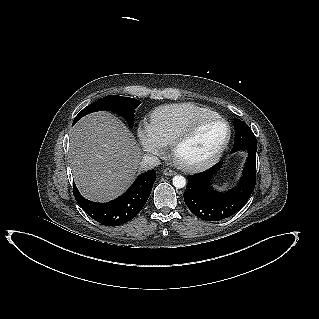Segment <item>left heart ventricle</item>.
I'll return each instance as SVG.
<instances>
[{
  "label": "left heart ventricle",
  "mask_w": 319,
  "mask_h": 319,
  "mask_svg": "<svg viewBox=\"0 0 319 319\" xmlns=\"http://www.w3.org/2000/svg\"><path fill=\"white\" fill-rule=\"evenodd\" d=\"M225 126L217 120L209 121L199 127L190 140L178 151L182 160L195 162L209 157L225 137Z\"/></svg>",
  "instance_id": "left-heart-ventricle-1"
}]
</instances>
